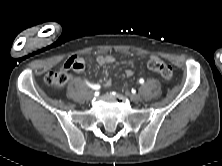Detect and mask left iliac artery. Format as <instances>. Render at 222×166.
<instances>
[{"instance_id": "44dca946", "label": "left iliac artery", "mask_w": 222, "mask_h": 166, "mask_svg": "<svg viewBox=\"0 0 222 166\" xmlns=\"http://www.w3.org/2000/svg\"><path fill=\"white\" fill-rule=\"evenodd\" d=\"M139 83H140V84H143V83H144V79L141 78V79L139 80Z\"/></svg>"}]
</instances>
